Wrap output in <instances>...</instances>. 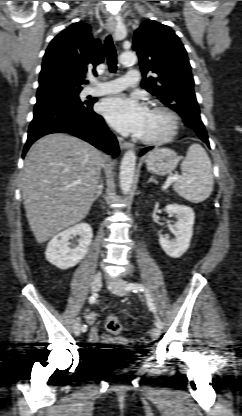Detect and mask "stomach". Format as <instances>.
<instances>
[{"label": "stomach", "mask_w": 242, "mask_h": 416, "mask_svg": "<svg viewBox=\"0 0 242 416\" xmlns=\"http://www.w3.org/2000/svg\"><path fill=\"white\" fill-rule=\"evenodd\" d=\"M179 162L177 153L169 148H155L145 157L147 169L158 175L172 172Z\"/></svg>", "instance_id": "obj_1"}]
</instances>
